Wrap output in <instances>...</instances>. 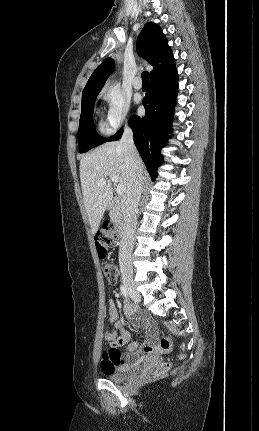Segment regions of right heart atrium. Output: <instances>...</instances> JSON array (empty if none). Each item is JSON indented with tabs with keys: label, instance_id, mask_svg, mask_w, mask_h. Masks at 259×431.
Returning <instances> with one entry per match:
<instances>
[{
	"label": "right heart atrium",
	"instance_id": "obj_1",
	"mask_svg": "<svg viewBox=\"0 0 259 431\" xmlns=\"http://www.w3.org/2000/svg\"><path fill=\"white\" fill-rule=\"evenodd\" d=\"M101 97L107 104L105 126L108 131L114 132L130 122V102L117 86H105Z\"/></svg>",
	"mask_w": 259,
	"mask_h": 431
}]
</instances>
